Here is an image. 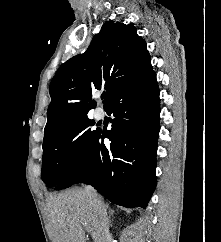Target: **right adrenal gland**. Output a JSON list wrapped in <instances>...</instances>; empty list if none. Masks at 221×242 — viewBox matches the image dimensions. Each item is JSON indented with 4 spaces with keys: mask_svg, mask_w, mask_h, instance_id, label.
<instances>
[{
    "mask_svg": "<svg viewBox=\"0 0 221 242\" xmlns=\"http://www.w3.org/2000/svg\"><path fill=\"white\" fill-rule=\"evenodd\" d=\"M114 210L113 209H111V208H109V224H110V226H112V220H111V216H113L114 215Z\"/></svg>",
    "mask_w": 221,
    "mask_h": 242,
    "instance_id": "2a0ac1e0",
    "label": "right adrenal gland"
}]
</instances>
